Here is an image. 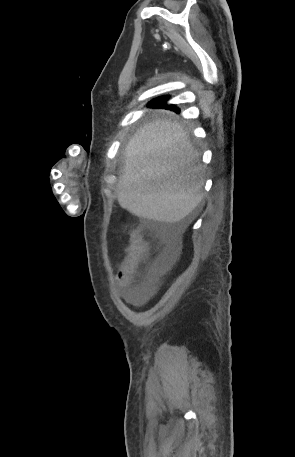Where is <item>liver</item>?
Segmentation results:
<instances>
[{
    "mask_svg": "<svg viewBox=\"0 0 295 457\" xmlns=\"http://www.w3.org/2000/svg\"><path fill=\"white\" fill-rule=\"evenodd\" d=\"M183 126L157 119L128 141L116 197L131 214L176 223L201 202L204 169Z\"/></svg>",
    "mask_w": 295,
    "mask_h": 457,
    "instance_id": "obj_1",
    "label": "liver"
}]
</instances>
